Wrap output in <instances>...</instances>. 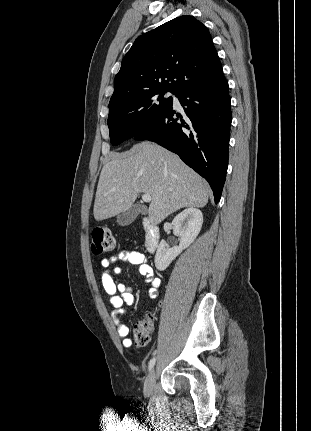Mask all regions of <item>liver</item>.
Instances as JSON below:
<instances>
[{"label":"liver","instance_id":"1","mask_svg":"<svg viewBox=\"0 0 311 431\" xmlns=\"http://www.w3.org/2000/svg\"><path fill=\"white\" fill-rule=\"evenodd\" d=\"M142 192L152 198L148 219L157 225L181 208H204L210 188L176 154L158 144L140 142L104 164L94 200L96 221L126 212Z\"/></svg>","mask_w":311,"mask_h":431}]
</instances>
